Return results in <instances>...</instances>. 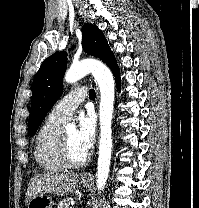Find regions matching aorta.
Instances as JSON below:
<instances>
[{"label": "aorta", "mask_w": 199, "mask_h": 208, "mask_svg": "<svg viewBox=\"0 0 199 208\" xmlns=\"http://www.w3.org/2000/svg\"><path fill=\"white\" fill-rule=\"evenodd\" d=\"M91 73L100 89L99 119H100V141L97 162L96 186L100 191L107 182L111 155H112V118L115 98V82L110 69L102 62L87 59L71 65L66 72L64 80L74 83Z\"/></svg>", "instance_id": "762f6f07"}]
</instances>
